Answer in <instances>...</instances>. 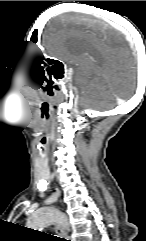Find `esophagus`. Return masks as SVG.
I'll return each mask as SVG.
<instances>
[{
	"label": "esophagus",
	"mask_w": 146,
	"mask_h": 241,
	"mask_svg": "<svg viewBox=\"0 0 146 241\" xmlns=\"http://www.w3.org/2000/svg\"><path fill=\"white\" fill-rule=\"evenodd\" d=\"M56 232L63 238V240L70 241V237L62 227L56 228Z\"/></svg>",
	"instance_id": "esophagus-1"
}]
</instances>
